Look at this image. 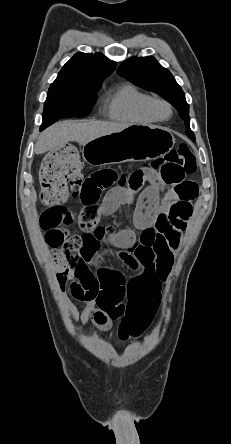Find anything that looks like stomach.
<instances>
[{
    "mask_svg": "<svg viewBox=\"0 0 231 444\" xmlns=\"http://www.w3.org/2000/svg\"><path fill=\"white\" fill-rule=\"evenodd\" d=\"M174 144L175 138L168 129L134 124L88 142L83 147L82 156L91 165L150 160L164 156Z\"/></svg>",
    "mask_w": 231,
    "mask_h": 444,
    "instance_id": "obj_1",
    "label": "stomach"
}]
</instances>
